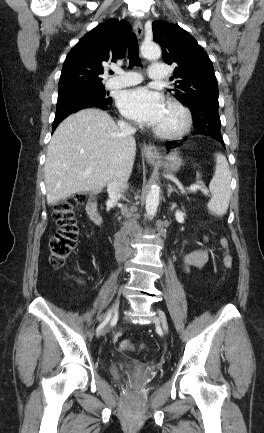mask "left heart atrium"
Returning a JSON list of instances; mask_svg holds the SVG:
<instances>
[{
	"mask_svg": "<svg viewBox=\"0 0 264 433\" xmlns=\"http://www.w3.org/2000/svg\"><path fill=\"white\" fill-rule=\"evenodd\" d=\"M117 104L126 117L150 126H156L161 121L166 109L162 95L147 87L122 92Z\"/></svg>",
	"mask_w": 264,
	"mask_h": 433,
	"instance_id": "obj_1",
	"label": "left heart atrium"
}]
</instances>
